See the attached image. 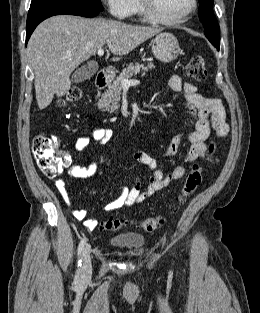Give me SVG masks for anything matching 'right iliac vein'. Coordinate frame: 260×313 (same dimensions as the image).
Here are the masks:
<instances>
[{"mask_svg":"<svg viewBox=\"0 0 260 313\" xmlns=\"http://www.w3.org/2000/svg\"><path fill=\"white\" fill-rule=\"evenodd\" d=\"M91 273H92V264L90 257V247L87 246L83 251L81 278L88 279L91 276Z\"/></svg>","mask_w":260,"mask_h":313,"instance_id":"obj_1","label":"right iliac vein"}]
</instances>
